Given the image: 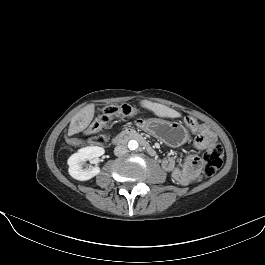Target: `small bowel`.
Instances as JSON below:
<instances>
[{
  "label": "small bowel",
  "mask_w": 265,
  "mask_h": 265,
  "mask_svg": "<svg viewBox=\"0 0 265 265\" xmlns=\"http://www.w3.org/2000/svg\"><path fill=\"white\" fill-rule=\"evenodd\" d=\"M196 132L194 139L196 148L203 150L217 142V136L207 126L202 124V129ZM162 168L171 174L172 179L183 186L189 185L201 179L199 158L190 154L185 156L181 166H177L174 159L167 157L162 161Z\"/></svg>",
  "instance_id": "obj_1"
}]
</instances>
